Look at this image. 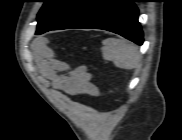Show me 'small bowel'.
<instances>
[{"instance_id": "c3829d8e", "label": "small bowel", "mask_w": 182, "mask_h": 140, "mask_svg": "<svg viewBox=\"0 0 182 140\" xmlns=\"http://www.w3.org/2000/svg\"><path fill=\"white\" fill-rule=\"evenodd\" d=\"M45 57V73L50 81V86L68 95L88 94L96 96L98 88L92 82V75L85 67L80 66L69 69L64 62L53 59L48 53Z\"/></svg>"}]
</instances>
